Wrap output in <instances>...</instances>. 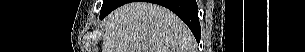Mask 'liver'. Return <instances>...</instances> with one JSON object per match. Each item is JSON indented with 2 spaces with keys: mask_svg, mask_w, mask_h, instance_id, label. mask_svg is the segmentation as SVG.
<instances>
[{
  "mask_svg": "<svg viewBox=\"0 0 305 52\" xmlns=\"http://www.w3.org/2000/svg\"><path fill=\"white\" fill-rule=\"evenodd\" d=\"M102 52H195L188 27L170 10L147 2L125 4L103 21Z\"/></svg>",
  "mask_w": 305,
  "mask_h": 52,
  "instance_id": "6515ba94",
  "label": "liver"
}]
</instances>
